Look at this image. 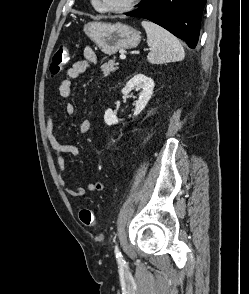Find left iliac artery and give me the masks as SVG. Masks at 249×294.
<instances>
[{
  "label": "left iliac artery",
  "mask_w": 249,
  "mask_h": 294,
  "mask_svg": "<svg viewBox=\"0 0 249 294\" xmlns=\"http://www.w3.org/2000/svg\"><path fill=\"white\" fill-rule=\"evenodd\" d=\"M114 252H115V255H116V258H117L118 263L119 264L124 263V259H123V256H122L121 252H120V249L118 247V244L115 245Z\"/></svg>",
  "instance_id": "44dca946"
}]
</instances>
